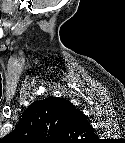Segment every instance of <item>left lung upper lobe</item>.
Listing matches in <instances>:
<instances>
[{
    "mask_svg": "<svg viewBox=\"0 0 125 143\" xmlns=\"http://www.w3.org/2000/svg\"><path fill=\"white\" fill-rule=\"evenodd\" d=\"M69 102L49 97L31 104L15 129L4 139L37 143L43 139L73 137L82 129L93 131L85 117L70 125L66 124V105Z\"/></svg>",
    "mask_w": 125,
    "mask_h": 143,
    "instance_id": "left-lung-upper-lobe-1",
    "label": "left lung upper lobe"
}]
</instances>
